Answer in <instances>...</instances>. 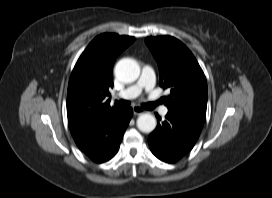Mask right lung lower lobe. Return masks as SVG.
<instances>
[{
  "label": "right lung lower lobe",
  "mask_w": 272,
  "mask_h": 198,
  "mask_svg": "<svg viewBox=\"0 0 272 198\" xmlns=\"http://www.w3.org/2000/svg\"><path fill=\"white\" fill-rule=\"evenodd\" d=\"M132 114V108L118 107L97 125L75 138L77 146L95 162L108 161L117 153Z\"/></svg>",
  "instance_id": "right-lung-lower-lobe-1"
}]
</instances>
